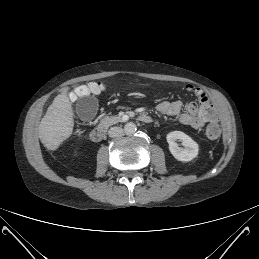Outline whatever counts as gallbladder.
I'll return each mask as SVG.
<instances>
[{"mask_svg":"<svg viewBox=\"0 0 259 259\" xmlns=\"http://www.w3.org/2000/svg\"><path fill=\"white\" fill-rule=\"evenodd\" d=\"M98 109V102L93 97L84 98L77 104V110L80 116L85 121H90L95 116V111Z\"/></svg>","mask_w":259,"mask_h":259,"instance_id":"1","label":"gallbladder"}]
</instances>
